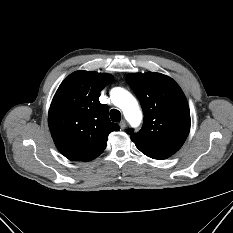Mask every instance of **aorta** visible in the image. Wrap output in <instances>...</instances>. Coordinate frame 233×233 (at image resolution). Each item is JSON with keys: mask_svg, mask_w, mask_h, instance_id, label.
<instances>
[{"mask_svg": "<svg viewBox=\"0 0 233 233\" xmlns=\"http://www.w3.org/2000/svg\"><path fill=\"white\" fill-rule=\"evenodd\" d=\"M110 97L114 105L119 107L132 127H137L142 119V113L139 109L136 99L125 89L121 87L113 88Z\"/></svg>", "mask_w": 233, "mask_h": 233, "instance_id": "aorta-1", "label": "aorta"}]
</instances>
